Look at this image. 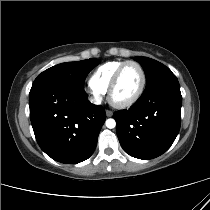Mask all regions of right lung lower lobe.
<instances>
[{
  "label": "right lung lower lobe",
  "mask_w": 210,
  "mask_h": 210,
  "mask_svg": "<svg viewBox=\"0 0 210 210\" xmlns=\"http://www.w3.org/2000/svg\"><path fill=\"white\" fill-rule=\"evenodd\" d=\"M83 88L65 83L32 85L30 119L40 148L61 163L76 164L94 152L105 110Z\"/></svg>",
  "instance_id": "obj_1"
}]
</instances>
